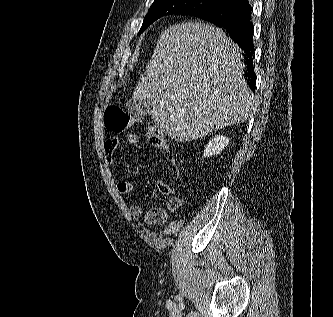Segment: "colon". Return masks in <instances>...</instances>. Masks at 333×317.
Here are the masks:
<instances>
[{
    "label": "colon",
    "mask_w": 333,
    "mask_h": 317,
    "mask_svg": "<svg viewBox=\"0 0 333 317\" xmlns=\"http://www.w3.org/2000/svg\"><path fill=\"white\" fill-rule=\"evenodd\" d=\"M104 122L105 127L109 132L118 134L126 131L132 126L137 125L140 122V119L137 116L131 115L119 106H110L105 110ZM148 138L153 147L166 150L164 139L158 132H150ZM166 158L169 161L173 160L172 155L167 151Z\"/></svg>",
    "instance_id": "1"
}]
</instances>
